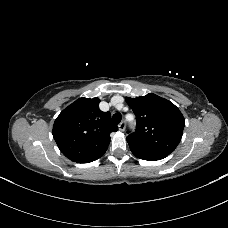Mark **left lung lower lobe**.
<instances>
[{"label": "left lung lower lobe", "mask_w": 228, "mask_h": 228, "mask_svg": "<svg viewBox=\"0 0 228 228\" xmlns=\"http://www.w3.org/2000/svg\"><path fill=\"white\" fill-rule=\"evenodd\" d=\"M134 156L148 161H156L161 160L168 156V154L161 153V152H153V151H145V150H138L134 148H130Z\"/></svg>", "instance_id": "0a47b994"}]
</instances>
